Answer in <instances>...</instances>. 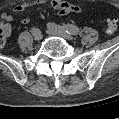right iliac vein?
Listing matches in <instances>:
<instances>
[{"label":"right iliac vein","mask_w":119,"mask_h":119,"mask_svg":"<svg viewBox=\"0 0 119 119\" xmlns=\"http://www.w3.org/2000/svg\"><path fill=\"white\" fill-rule=\"evenodd\" d=\"M34 39H35L36 41L41 40V39H42V34H41V32H40V34H39L37 37H34Z\"/></svg>","instance_id":"obj_1"}]
</instances>
